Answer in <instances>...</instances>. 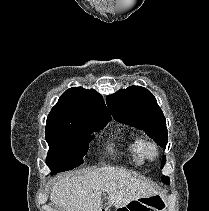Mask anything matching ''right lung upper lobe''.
Masks as SVG:
<instances>
[{
  "mask_svg": "<svg viewBox=\"0 0 209 211\" xmlns=\"http://www.w3.org/2000/svg\"><path fill=\"white\" fill-rule=\"evenodd\" d=\"M111 118L102 96L95 90L73 87L66 90L47 118V125H73Z\"/></svg>",
  "mask_w": 209,
  "mask_h": 211,
  "instance_id": "obj_1",
  "label": "right lung upper lobe"
}]
</instances>
